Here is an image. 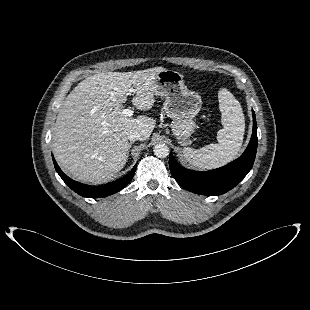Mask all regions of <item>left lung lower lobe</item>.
I'll return each mask as SVG.
<instances>
[{"label":"left lung lower lobe","instance_id":"left-lung-lower-lobe-1","mask_svg":"<svg viewBox=\"0 0 310 310\" xmlns=\"http://www.w3.org/2000/svg\"><path fill=\"white\" fill-rule=\"evenodd\" d=\"M253 114V132L244 153L226 166L210 171H194L180 166L173 155L169 157L170 171L179 185L202 195L216 196L235 187L251 170L257 151V123Z\"/></svg>","mask_w":310,"mask_h":310}]
</instances>
